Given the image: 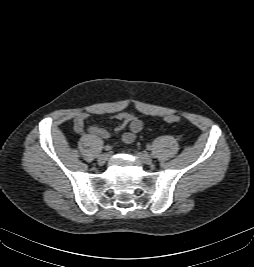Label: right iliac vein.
Instances as JSON below:
<instances>
[{
  "instance_id": "63e3f726",
  "label": "right iliac vein",
  "mask_w": 254,
  "mask_h": 267,
  "mask_svg": "<svg viewBox=\"0 0 254 267\" xmlns=\"http://www.w3.org/2000/svg\"><path fill=\"white\" fill-rule=\"evenodd\" d=\"M108 157H109L108 153L100 154L99 157H98V160H97L98 164L99 165H104L105 162L107 161Z\"/></svg>"
}]
</instances>
